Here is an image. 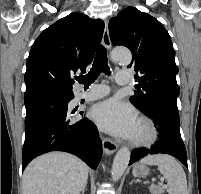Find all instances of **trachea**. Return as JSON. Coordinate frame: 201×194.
<instances>
[{
	"label": "trachea",
	"instance_id": "obj_1",
	"mask_svg": "<svg viewBox=\"0 0 201 194\" xmlns=\"http://www.w3.org/2000/svg\"><path fill=\"white\" fill-rule=\"evenodd\" d=\"M101 72H104L106 75H111L108 66L107 50L102 45L97 49L91 70L85 76L78 77L77 81L82 83L85 88H88L93 82H95Z\"/></svg>",
	"mask_w": 201,
	"mask_h": 194
}]
</instances>
